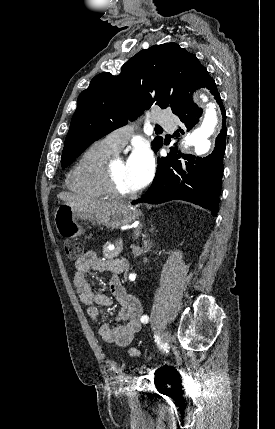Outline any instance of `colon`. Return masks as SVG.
I'll use <instances>...</instances> for the list:
<instances>
[{
    "label": "colon",
    "instance_id": "obj_1",
    "mask_svg": "<svg viewBox=\"0 0 275 429\" xmlns=\"http://www.w3.org/2000/svg\"><path fill=\"white\" fill-rule=\"evenodd\" d=\"M64 251H65L66 258L69 261H75L80 257L82 253V245L75 240H67L64 243ZM121 370H122L121 367L112 361L108 362L105 365V374L107 379L111 383H114L118 380L121 374Z\"/></svg>",
    "mask_w": 275,
    "mask_h": 429
}]
</instances>
